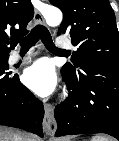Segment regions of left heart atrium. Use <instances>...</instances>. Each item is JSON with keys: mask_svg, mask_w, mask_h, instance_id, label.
I'll use <instances>...</instances> for the list:
<instances>
[{"mask_svg": "<svg viewBox=\"0 0 119 141\" xmlns=\"http://www.w3.org/2000/svg\"><path fill=\"white\" fill-rule=\"evenodd\" d=\"M25 84L40 96L50 95L56 87V73L48 59L36 61L23 75Z\"/></svg>", "mask_w": 119, "mask_h": 141, "instance_id": "1", "label": "left heart atrium"}]
</instances>
